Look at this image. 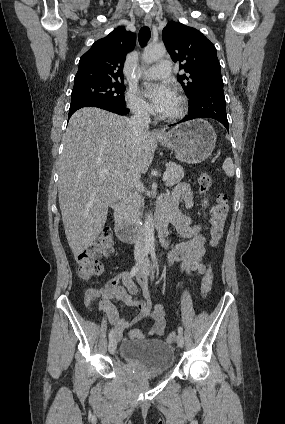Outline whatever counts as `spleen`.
Listing matches in <instances>:
<instances>
[{"instance_id":"obj_1","label":"spleen","mask_w":285,"mask_h":424,"mask_svg":"<svg viewBox=\"0 0 285 424\" xmlns=\"http://www.w3.org/2000/svg\"><path fill=\"white\" fill-rule=\"evenodd\" d=\"M222 169L225 171L227 176L233 177L235 174V169L232 159L227 158L222 165Z\"/></svg>"}]
</instances>
